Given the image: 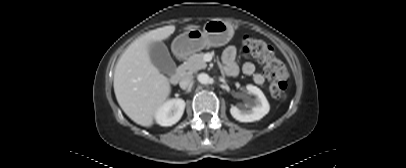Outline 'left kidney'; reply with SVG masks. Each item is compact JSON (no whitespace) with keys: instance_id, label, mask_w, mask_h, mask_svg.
<instances>
[{"instance_id":"left-kidney-1","label":"left kidney","mask_w":406,"mask_h":168,"mask_svg":"<svg viewBox=\"0 0 406 168\" xmlns=\"http://www.w3.org/2000/svg\"><path fill=\"white\" fill-rule=\"evenodd\" d=\"M246 89L248 93L254 95L255 98L249 99L248 108L239 109L236 106H232L230 113L233 118L240 122L258 121L268 114L270 110L269 103L258 87L249 84L246 86Z\"/></svg>"}]
</instances>
